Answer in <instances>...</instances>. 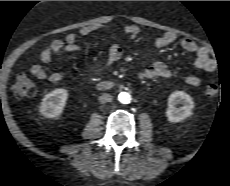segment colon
I'll return each instance as SVG.
<instances>
[{"label":"colon","instance_id":"5ec220e1","mask_svg":"<svg viewBox=\"0 0 230 186\" xmlns=\"http://www.w3.org/2000/svg\"><path fill=\"white\" fill-rule=\"evenodd\" d=\"M13 94L17 98L31 97L36 92L34 81L25 73H18L13 83ZM219 85L216 82H210L206 86V94L210 97L217 95Z\"/></svg>","mask_w":230,"mask_h":186}]
</instances>
